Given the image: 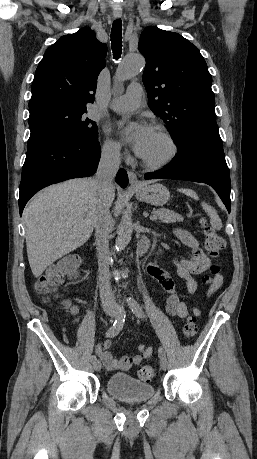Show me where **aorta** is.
I'll use <instances>...</instances> for the list:
<instances>
[{
	"instance_id": "762f6f07",
	"label": "aorta",
	"mask_w": 257,
	"mask_h": 459,
	"mask_svg": "<svg viewBox=\"0 0 257 459\" xmlns=\"http://www.w3.org/2000/svg\"><path fill=\"white\" fill-rule=\"evenodd\" d=\"M145 65L144 58L139 54L125 56L121 65L116 71V82L122 83L139 73ZM133 232L131 216L124 213L117 229L116 248L123 250L130 242Z\"/></svg>"
}]
</instances>
